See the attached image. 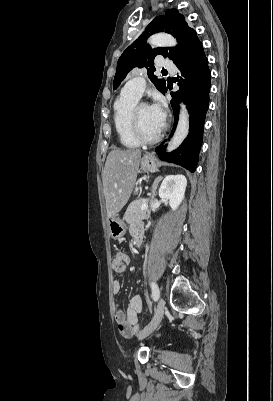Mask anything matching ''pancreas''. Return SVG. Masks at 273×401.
<instances>
[{
    "label": "pancreas",
    "instance_id": "obj_1",
    "mask_svg": "<svg viewBox=\"0 0 273 401\" xmlns=\"http://www.w3.org/2000/svg\"><path fill=\"white\" fill-rule=\"evenodd\" d=\"M143 201H146L147 205L144 210H141L140 206ZM151 203H153V198H139V201H133V203L129 205L123 217V221H126V223H138V221H143V219H150L151 211L149 205H151Z\"/></svg>",
    "mask_w": 273,
    "mask_h": 401
}]
</instances>
